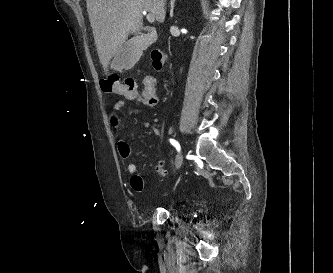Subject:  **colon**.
Instances as JSON below:
<instances>
[{
  "instance_id": "5ec220e1",
  "label": "colon",
  "mask_w": 333,
  "mask_h": 273,
  "mask_svg": "<svg viewBox=\"0 0 333 273\" xmlns=\"http://www.w3.org/2000/svg\"><path fill=\"white\" fill-rule=\"evenodd\" d=\"M151 58L155 70L161 71L166 67L167 57L162 51H153ZM101 88L107 93L119 94L126 98L135 97L138 91L136 82L133 79H121L118 75H112L109 78L102 80ZM154 170L161 180L167 179V170L161 161L155 163Z\"/></svg>"
}]
</instances>
